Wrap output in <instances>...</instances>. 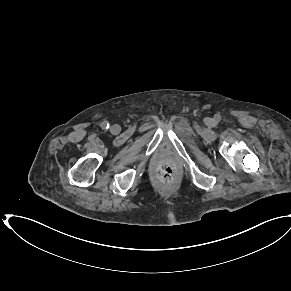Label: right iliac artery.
<instances>
[{"instance_id": "82829eb1", "label": "right iliac artery", "mask_w": 291, "mask_h": 291, "mask_svg": "<svg viewBox=\"0 0 291 291\" xmlns=\"http://www.w3.org/2000/svg\"><path fill=\"white\" fill-rule=\"evenodd\" d=\"M101 127H102L103 129H108V128H109V123H108L107 121H103V122L101 123Z\"/></svg>"}]
</instances>
